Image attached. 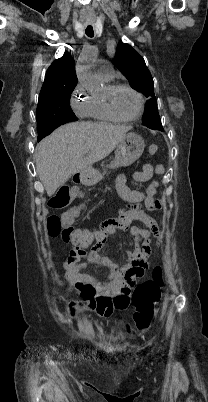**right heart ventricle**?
<instances>
[{
  "mask_svg": "<svg viewBox=\"0 0 208 402\" xmlns=\"http://www.w3.org/2000/svg\"><path fill=\"white\" fill-rule=\"evenodd\" d=\"M107 83L110 80L104 79ZM110 84H107V87H110ZM90 122L95 126H110L119 123L120 121L114 118L108 108L106 106L104 100V91L101 93H93L92 94V106L90 113Z\"/></svg>",
  "mask_w": 208,
  "mask_h": 402,
  "instance_id": "obj_1",
  "label": "right heart ventricle"
}]
</instances>
